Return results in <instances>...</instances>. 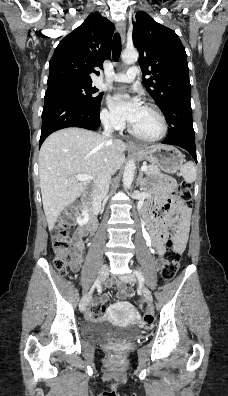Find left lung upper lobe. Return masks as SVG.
Listing matches in <instances>:
<instances>
[{
    "label": "left lung upper lobe",
    "instance_id": "left-lung-upper-lobe-1",
    "mask_svg": "<svg viewBox=\"0 0 228 396\" xmlns=\"http://www.w3.org/2000/svg\"><path fill=\"white\" fill-rule=\"evenodd\" d=\"M133 24V44L143 76H151L143 84L161 111L180 98H190L186 52L178 35L144 12L136 15ZM174 106V114H180L179 102Z\"/></svg>",
    "mask_w": 228,
    "mask_h": 396
}]
</instances>
